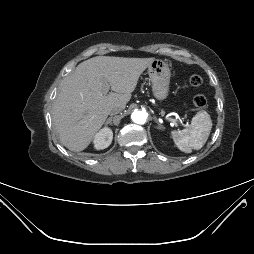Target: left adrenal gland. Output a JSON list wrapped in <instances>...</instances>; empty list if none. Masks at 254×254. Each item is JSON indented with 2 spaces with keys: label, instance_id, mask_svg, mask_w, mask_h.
<instances>
[{
  "label": "left adrenal gland",
  "instance_id": "1",
  "mask_svg": "<svg viewBox=\"0 0 254 254\" xmlns=\"http://www.w3.org/2000/svg\"><path fill=\"white\" fill-rule=\"evenodd\" d=\"M154 121L158 124V129H163V126L158 122L156 117H154Z\"/></svg>",
  "mask_w": 254,
  "mask_h": 254
}]
</instances>
